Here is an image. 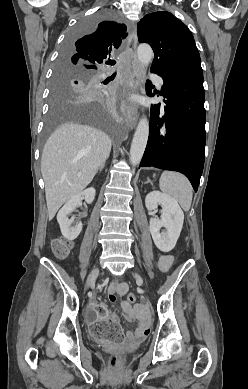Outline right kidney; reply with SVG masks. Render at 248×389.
I'll use <instances>...</instances> for the list:
<instances>
[{"instance_id": "obj_1", "label": "right kidney", "mask_w": 248, "mask_h": 389, "mask_svg": "<svg viewBox=\"0 0 248 389\" xmlns=\"http://www.w3.org/2000/svg\"><path fill=\"white\" fill-rule=\"evenodd\" d=\"M96 191L94 188H88L69 199L66 204L60 209L57 214V221L60 225V229L64 238L72 241L78 237L82 230V223L79 222L75 227H72V220L68 218V215L75 210L80 204L81 198L90 204L95 198Z\"/></svg>"}]
</instances>
